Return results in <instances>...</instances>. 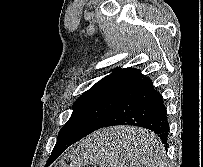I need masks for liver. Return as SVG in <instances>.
I'll use <instances>...</instances> for the list:
<instances>
[{
    "label": "liver",
    "instance_id": "liver-1",
    "mask_svg": "<svg viewBox=\"0 0 203 167\" xmlns=\"http://www.w3.org/2000/svg\"><path fill=\"white\" fill-rule=\"evenodd\" d=\"M106 138L112 139L113 147L111 153L114 160L128 163L129 167H138L139 145L143 138L149 134L141 128L115 127L101 132Z\"/></svg>",
    "mask_w": 203,
    "mask_h": 167
}]
</instances>
